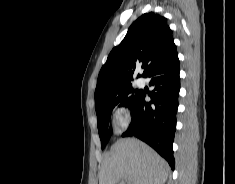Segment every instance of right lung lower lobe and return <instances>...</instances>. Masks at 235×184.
Returning a JSON list of instances; mask_svg holds the SVG:
<instances>
[{"label":"right lung lower lobe","mask_w":235,"mask_h":184,"mask_svg":"<svg viewBox=\"0 0 235 184\" xmlns=\"http://www.w3.org/2000/svg\"><path fill=\"white\" fill-rule=\"evenodd\" d=\"M180 64L177 50L160 64L153 67L144 78H150L153 90L146 94L140 91L129 109L132 121L122 136H136L164 157L172 169L175 160L172 144L176 130V113L180 90Z\"/></svg>","instance_id":"98d812e1"}]
</instances>
